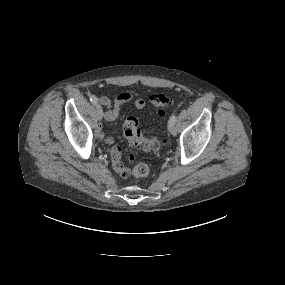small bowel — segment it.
I'll use <instances>...</instances> for the list:
<instances>
[{
    "label": "small bowel",
    "instance_id": "1",
    "mask_svg": "<svg viewBox=\"0 0 285 285\" xmlns=\"http://www.w3.org/2000/svg\"><path fill=\"white\" fill-rule=\"evenodd\" d=\"M99 100L100 103L106 107L104 118L107 121L115 120L118 117L122 106L129 102H133L137 109H142L145 106V100L143 98H134L133 94L130 92H122L114 99L102 96ZM96 134L100 139L105 140L107 144L113 145L111 149V162L113 169L119 176L123 178L127 177L130 174V170L123 164L121 160V149L114 145V139L106 136L101 128H97Z\"/></svg>",
    "mask_w": 285,
    "mask_h": 285
}]
</instances>
